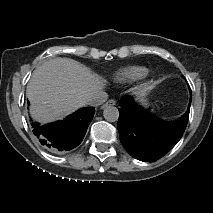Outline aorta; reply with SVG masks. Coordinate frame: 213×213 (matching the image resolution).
Wrapping results in <instances>:
<instances>
[{
  "mask_svg": "<svg viewBox=\"0 0 213 213\" xmlns=\"http://www.w3.org/2000/svg\"><path fill=\"white\" fill-rule=\"evenodd\" d=\"M103 117L108 122H116L119 118L118 108L112 105H108L103 111Z\"/></svg>",
  "mask_w": 213,
  "mask_h": 213,
  "instance_id": "1",
  "label": "aorta"
}]
</instances>
